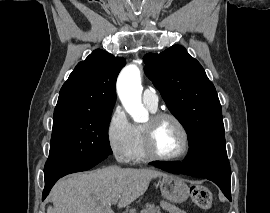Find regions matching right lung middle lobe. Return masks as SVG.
<instances>
[{
	"label": "right lung middle lobe",
	"mask_w": 270,
	"mask_h": 213,
	"mask_svg": "<svg viewBox=\"0 0 270 213\" xmlns=\"http://www.w3.org/2000/svg\"><path fill=\"white\" fill-rule=\"evenodd\" d=\"M110 119L111 112L54 113L50 153L45 169L111 155L108 138Z\"/></svg>",
	"instance_id": "obj_1"
}]
</instances>
